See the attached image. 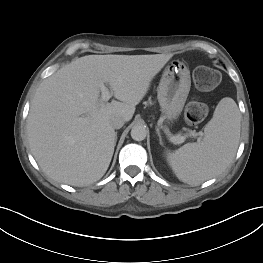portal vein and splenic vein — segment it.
Listing matches in <instances>:
<instances>
[{"mask_svg": "<svg viewBox=\"0 0 263 263\" xmlns=\"http://www.w3.org/2000/svg\"><path fill=\"white\" fill-rule=\"evenodd\" d=\"M100 90H101L102 101L107 102L112 97V92H110L109 89L104 84L100 85ZM189 135L194 137L197 136V134L193 131L190 132ZM170 139L174 143H182L185 141L186 135L185 136L176 135V136H172Z\"/></svg>", "mask_w": 263, "mask_h": 263, "instance_id": "18ae733b", "label": "portal vein and splenic vein"}]
</instances>
